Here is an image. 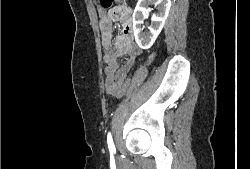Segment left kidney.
Instances as JSON below:
<instances>
[{
    "mask_svg": "<svg viewBox=\"0 0 250 169\" xmlns=\"http://www.w3.org/2000/svg\"><path fill=\"white\" fill-rule=\"evenodd\" d=\"M149 2L158 4L159 12L152 16L151 26H149L150 34L145 36V34H142L141 24H144V16L147 14L146 6L149 4ZM170 6L171 0H138L133 12V30L135 40L140 48H150L153 42H155L158 34H160L165 24V20L169 14Z\"/></svg>",
    "mask_w": 250,
    "mask_h": 169,
    "instance_id": "left-kidney-1",
    "label": "left kidney"
}]
</instances>
